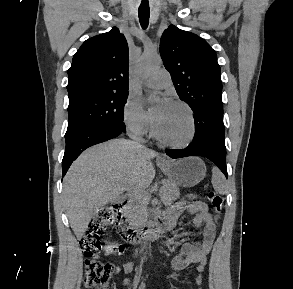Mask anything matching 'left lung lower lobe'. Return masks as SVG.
I'll return each instance as SVG.
<instances>
[{
  "label": "left lung lower lobe",
  "mask_w": 293,
  "mask_h": 289,
  "mask_svg": "<svg viewBox=\"0 0 293 289\" xmlns=\"http://www.w3.org/2000/svg\"><path fill=\"white\" fill-rule=\"evenodd\" d=\"M194 121L193 141L185 149L167 150V155L174 159L186 156L206 157L227 177L223 114L201 111L194 114Z\"/></svg>",
  "instance_id": "left-lung-lower-lobe-1"
}]
</instances>
